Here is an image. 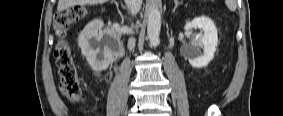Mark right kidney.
<instances>
[{
    "mask_svg": "<svg viewBox=\"0 0 283 116\" xmlns=\"http://www.w3.org/2000/svg\"><path fill=\"white\" fill-rule=\"evenodd\" d=\"M78 45L94 71H104L124 52L119 35L110 28H104V22L92 20L81 31Z\"/></svg>",
    "mask_w": 283,
    "mask_h": 116,
    "instance_id": "ca27d5eb",
    "label": "right kidney"
}]
</instances>
